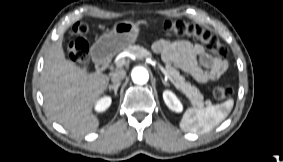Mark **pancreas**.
<instances>
[{
	"label": "pancreas",
	"mask_w": 283,
	"mask_h": 162,
	"mask_svg": "<svg viewBox=\"0 0 283 162\" xmlns=\"http://www.w3.org/2000/svg\"><path fill=\"white\" fill-rule=\"evenodd\" d=\"M126 51L135 55L139 59L152 56L148 50L139 45L130 46L126 49ZM165 70L168 73L169 77L172 78L173 84L176 86V88L181 90L193 105H196L198 107L203 106V95L200 93L198 88L187 82L185 78L180 75V72L170 64H166Z\"/></svg>",
	"instance_id": "obj_1"
}]
</instances>
